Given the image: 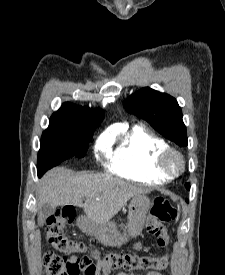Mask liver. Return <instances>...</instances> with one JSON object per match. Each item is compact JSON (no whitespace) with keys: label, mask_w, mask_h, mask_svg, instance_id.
Masks as SVG:
<instances>
[{"label":"liver","mask_w":225,"mask_h":275,"mask_svg":"<svg viewBox=\"0 0 225 275\" xmlns=\"http://www.w3.org/2000/svg\"><path fill=\"white\" fill-rule=\"evenodd\" d=\"M144 193L142 188L108 174L74 172L57 167L43 176L36 195L39 207L44 204L54 208L65 205L82 207L88 219L105 224L131 198Z\"/></svg>","instance_id":"obj_1"}]
</instances>
